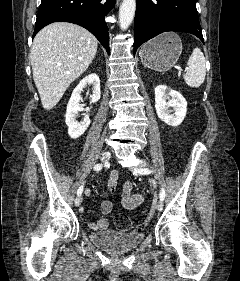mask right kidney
Masks as SVG:
<instances>
[{
	"label": "right kidney",
	"mask_w": 240,
	"mask_h": 281,
	"mask_svg": "<svg viewBox=\"0 0 240 281\" xmlns=\"http://www.w3.org/2000/svg\"><path fill=\"white\" fill-rule=\"evenodd\" d=\"M87 84L92 85L93 93L91 95V102L95 103L100 99V80L98 75L92 73L85 78H83L77 87L73 90L71 98L67 105L66 111V124L68 126V134L71 138L77 139L80 137L90 125L89 115H85L84 119L81 122H78L76 118L78 113L81 111L89 112V108H82L79 104L81 97V92Z\"/></svg>",
	"instance_id": "1"
}]
</instances>
